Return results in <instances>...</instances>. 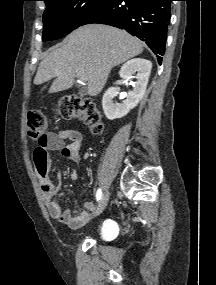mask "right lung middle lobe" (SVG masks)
<instances>
[{"mask_svg": "<svg viewBox=\"0 0 216 285\" xmlns=\"http://www.w3.org/2000/svg\"><path fill=\"white\" fill-rule=\"evenodd\" d=\"M106 0H50L43 14L42 41L62 38L81 26L83 21Z\"/></svg>", "mask_w": 216, "mask_h": 285, "instance_id": "dd1d6c3e", "label": "right lung middle lobe"}]
</instances>
